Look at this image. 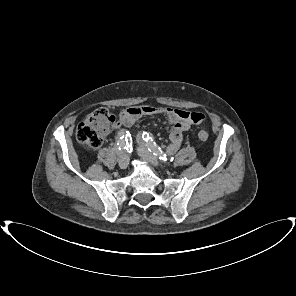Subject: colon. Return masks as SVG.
Returning a JSON list of instances; mask_svg holds the SVG:
<instances>
[{
  "mask_svg": "<svg viewBox=\"0 0 296 296\" xmlns=\"http://www.w3.org/2000/svg\"><path fill=\"white\" fill-rule=\"evenodd\" d=\"M204 118L205 116L202 113H193L191 115V119L197 123L202 122ZM115 121V115L105 108H99L78 125L76 138L88 148L96 149L101 146L103 138L110 131ZM198 138L201 141H206L209 138V134L206 130H201L198 133Z\"/></svg>",
  "mask_w": 296,
  "mask_h": 296,
  "instance_id": "obj_1",
  "label": "colon"
}]
</instances>
